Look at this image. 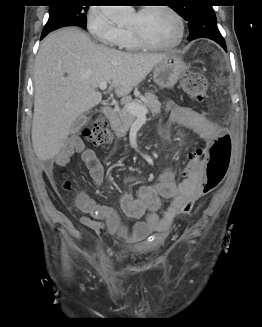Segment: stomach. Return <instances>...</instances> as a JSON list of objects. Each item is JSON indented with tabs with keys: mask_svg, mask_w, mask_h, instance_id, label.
<instances>
[{
	"mask_svg": "<svg viewBox=\"0 0 262 327\" xmlns=\"http://www.w3.org/2000/svg\"><path fill=\"white\" fill-rule=\"evenodd\" d=\"M186 69L181 57L169 56L155 66L154 81L162 89L173 88Z\"/></svg>",
	"mask_w": 262,
	"mask_h": 327,
	"instance_id": "obj_1",
	"label": "stomach"
}]
</instances>
